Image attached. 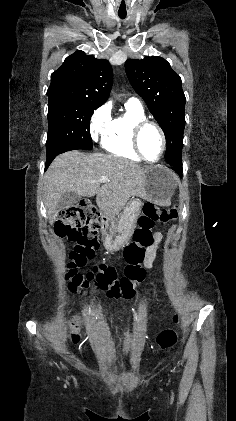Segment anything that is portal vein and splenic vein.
<instances>
[{"label":"portal vein and splenic vein","instance_id":"18ae733b","mask_svg":"<svg viewBox=\"0 0 236 421\" xmlns=\"http://www.w3.org/2000/svg\"><path fill=\"white\" fill-rule=\"evenodd\" d=\"M100 180L101 182H108L109 178L108 176H101Z\"/></svg>","mask_w":236,"mask_h":421}]
</instances>
